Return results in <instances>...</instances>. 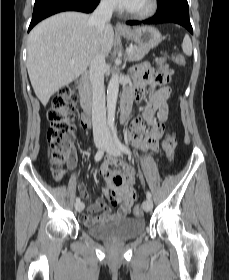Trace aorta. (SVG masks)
Returning <instances> with one entry per match:
<instances>
[{"instance_id":"aorta-1","label":"aorta","mask_w":229,"mask_h":280,"mask_svg":"<svg viewBox=\"0 0 229 280\" xmlns=\"http://www.w3.org/2000/svg\"><path fill=\"white\" fill-rule=\"evenodd\" d=\"M119 91V78L117 74H113L107 88V113H108V126L114 130L115 124V111Z\"/></svg>"}]
</instances>
